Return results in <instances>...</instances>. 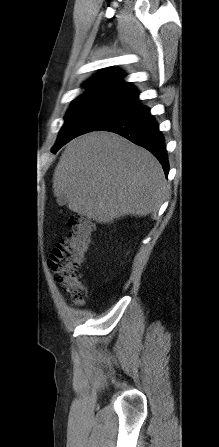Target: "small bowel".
<instances>
[{"label":"small bowel","mask_w":219,"mask_h":447,"mask_svg":"<svg viewBox=\"0 0 219 447\" xmlns=\"http://www.w3.org/2000/svg\"><path fill=\"white\" fill-rule=\"evenodd\" d=\"M74 304H75V306L80 307V306H83L84 302L83 301H81V302H75L74 301Z\"/></svg>","instance_id":"obj_1"}]
</instances>
